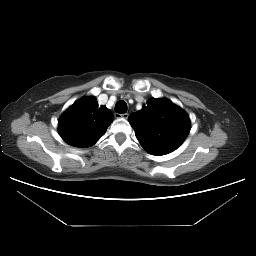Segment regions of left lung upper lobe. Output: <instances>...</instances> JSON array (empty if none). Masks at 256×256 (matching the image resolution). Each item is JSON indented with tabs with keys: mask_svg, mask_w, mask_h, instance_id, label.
Instances as JSON below:
<instances>
[{
	"mask_svg": "<svg viewBox=\"0 0 256 256\" xmlns=\"http://www.w3.org/2000/svg\"><path fill=\"white\" fill-rule=\"evenodd\" d=\"M147 152L164 155L177 149L190 131V119L178 106L162 98H151L147 106L128 118Z\"/></svg>",
	"mask_w": 256,
	"mask_h": 256,
	"instance_id": "left-lung-upper-lobe-1",
	"label": "left lung upper lobe"
}]
</instances>
